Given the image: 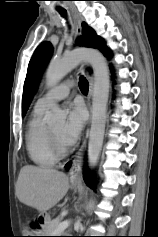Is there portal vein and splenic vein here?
<instances>
[{
    "label": "portal vein and splenic vein",
    "mask_w": 158,
    "mask_h": 237,
    "mask_svg": "<svg viewBox=\"0 0 158 237\" xmlns=\"http://www.w3.org/2000/svg\"><path fill=\"white\" fill-rule=\"evenodd\" d=\"M69 225H70V220H65L61 222L58 226V231L59 232L64 231L66 228H68Z\"/></svg>",
    "instance_id": "1"
}]
</instances>
